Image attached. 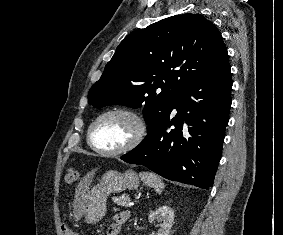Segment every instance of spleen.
I'll return each instance as SVG.
<instances>
[{
    "label": "spleen",
    "mask_w": 283,
    "mask_h": 235,
    "mask_svg": "<svg viewBox=\"0 0 283 235\" xmlns=\"http://www.w3.org/2000/svg\"><path fill=\"white\" fill-rule=\"evenodd\" d=\"M139 176H140L141 180L144 181L145 184H147L149 187L154 188V190L158 194H160L164 190L165 183L156 174H154L152 172H140Z\"/></svg>",
    "instance_id": "3e777b00"
}]
</instances>
